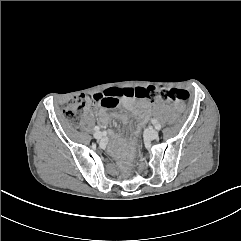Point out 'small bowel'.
<instances>
[{"instance_id":"obj_1","label":"small bowel","mask_w":241,"mask_h":241,"mask_svg":"<svg viewBox=\"0 0 241 241\" xmlns=\"http://www.w3.org/2000/svg\"><path fill=\"white\" fill-rule=\"evenodd\" d=\"M119 103H120V100L112 107H116ZM122 103L127 109L142 115L145 114L146 110L151 104L147 100L136 101L131 97H125L122 100ZM100 106H102V108L97 111V115L102 122H106L111 118V115L106 111V108H112V107L103 106V105H100ZM177 107L178 109H181V105H178ZM88 109L89 111H91L92 107H88Z\"/></svg>"}]
</instances>
